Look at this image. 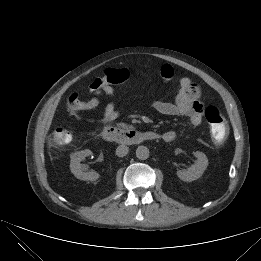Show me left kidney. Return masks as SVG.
I'll return each instance as SVG.
<instances>
[{"mask_svg": "<svg viewBox=\"0 0 261 261\" xmlns=\"http://www.w3.org/2000/svg\"><path fill=\"white\" fill-rule=\"evenodd\" d=\"M194 155L197 158V161L194 165H192L188 170L177 171V176L182 181L192 182L199 179L208 166V159L204 153L196 151Z\"/></svg>", "mask_w": 261, "mask_h": 261, "instance_id": "5707ae66", "label": "left kidney"}]
</instances>
